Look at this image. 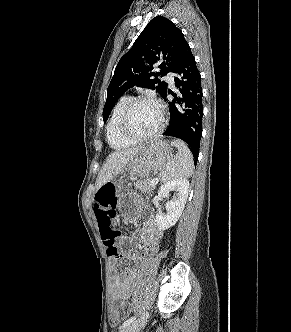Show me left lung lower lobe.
<instances>
[{
	"label": "left lung lower lobe",
	"instance_id": "0a47b994",
	"mask_svg": "<svg viewBox=\"0 0 291 332\" xmlns=\"http://www.w3.org/2000/svg\"><path fill=\"white\" fill-rule=\"evenodd\" d=\"M174 73L178 75L175 77V85L179 88V93L174 94L167 90L162 96L170 106V122L163 135L179 138L191 148L197 142L200 144L202 136L203 94L201 75L189 45L186 46ZM168 94L174 96L172 101L167 99ZM198 153L199 150L192 152L195 162Z\"/></svg>",
	"mask_w": 291,
	"mask_h": 332
}]
</instances>
